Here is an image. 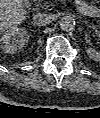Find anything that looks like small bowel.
Instances as JSON below:
<instances>
[{"instance_id":"c3829d8e","label":"small bowel","mask_w":100,"mask_h":118,"mask_svg":"<svg viewBox=\"0 0 100 118\" xmlns=\"http://www.w3.org/2000/svg\"><path fill=\"white\" fill-rule=\"evenodd\" d=\"M76 6L79 11L93 15L94 14V6L86 2L85 0H76Z\"/></svg>"}]
</instances>
